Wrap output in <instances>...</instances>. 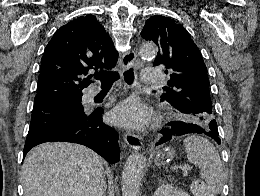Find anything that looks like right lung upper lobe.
Instances as JSON below:
<instances>
[{
	"label": "right lung upper lobe",
	"instance_id": "right-lung-upper-lobe-1",
	"mask_svg": "<svg viewBox=\"0 0 260 196\" xmlns=\"http://www.w3.org/2000/svg\"><path fill=\"white\" fill-rule=\"evenodd\" d=\"M118 52L94 15H86L62 26L53 35L41 59L34 106L82 96L92 81V70L111 69Z\"/></svg>",
	"mask_w": 260,
	"mask_h": 196
}]
</instances>
